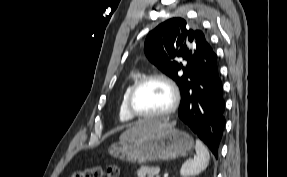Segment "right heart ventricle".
Instances as JSON below:
<instances>
[{
  "label": "right heart ventricle",
  "mask_w": 287,
  "mask_h": 177,
  "mask_svg": "<svg viewBox=\"0 0 287 177\" xmlns=\"http://www.w3.org/2000/svg\"><path fill=\"white\" fill-rule=\"evenodd\" d=\"M141 78V75L139 73H133L131 74L125 84V87L122 92V98L120 102V107H119V116L122 121L125 122H130L134 120V116L130 114L127 108V97L134 86V84Z\"/></svg>",
  "instance_id": "obj_1"
}]
</instances>
